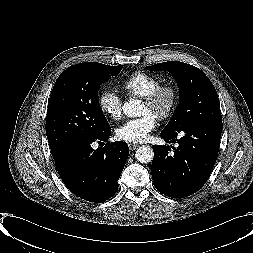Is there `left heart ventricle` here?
Masks as SVG:
<instances>
[{
    "mask_svg": "<svg viewBox=\"0 0 253 253\" xmlns=\"http://www.w3.org/2000/svg\"><path fill=\"white\" fill-rule=\"evenodd\" d=\"M167 103L166 98L162 99L158 104L154 106H149L146 103L142 102L141 104V109H140V114H150L152 116H156L157 113L162 111Z\"/></svg>",
    "mask_w": 253,
    "mask_h": 253,
    "instance_id": "b2bd125f",
    "label": "left heart ventricle"
}]
</instances>
